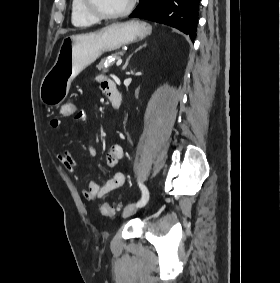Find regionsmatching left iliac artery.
Returning a JSON list of instances; mask_svg holds the SVG:
<instances>
[{
    "mask_svg": "<svg viewBox=\"0 0 280 283\" xmlns=\"http://www.w3.org/2000/svg\"><path fill=\"white\" fill-rule=\"evenodd\" d=\"M139 187L142 191V197L136 204L138 207H143L146 205V203L149 200V191L145 185H143L141 182H139Z\"/></svg>",
    "mask_w": 280,
    "mask_h": 283,
    "instance_id": "1",
    "label": "left iliac artery"
}]
</instances>
